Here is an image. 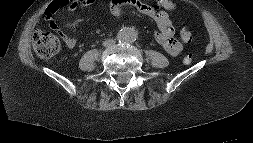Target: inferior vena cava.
<instances>
[{
    "mask_svg": "<svg viewBox=\"0 0 253 143\" xmlns=\"http://www.w3.org/2000/svg\"><path fill=\"white\" fill-rule=\"evenodd\" d=\"M114 42H115V41H114L113 39H109V40L104 41L103 44H104L105 46H110V45H112Z\"/></svg>",
    "mask_w": 253,
    "mask_h": 143,
    "instance_id": "obj_1",
    "label": "inferior vena cava"
}]
</instances>
